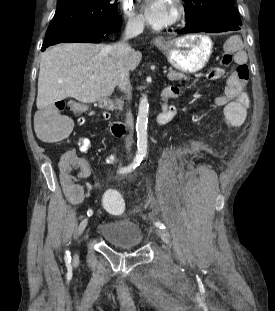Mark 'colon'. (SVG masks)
Returning a JSON list of instances; mask_svg holds the SVG:
<instances>
[{
  "instance_id": "obj_1",
  "label": "colon",
  "mask_w": 275,
  "mask_h": 311,
  "mask_svg": "<svg viewBox=\"0 0 275 311\" xmlns=\"http://www.w3.org/2000/svg\"><path fill=\"white\" fill-rule=\"evenodd\" d=\"M237 75L243 80L249 77V70L247 65L241 64L236 68ZM78 103L72 102L68 107L72 110L78 107ZM65 104L62 102L56 103L38 113L36 117V133L42 140L54 142L65 139L72 130L71 120L62 115L60 111L64 109ZM227 127L231 129L233 126L232 119H228ZM120 190H103L102 196L104 197V207L110 213H119L123 210V203Z\"/></svg>"
}]
</instances>
